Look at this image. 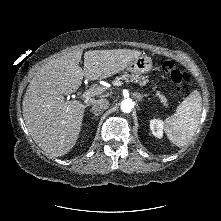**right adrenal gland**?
Returning a JSON list of instances; mask_svg holds the SVG:
<instances>
[{"instance_id": "1", "label": "right adrenal gland", "mask_w": 221, "mask_h": 221, "mask_svg": "<svg viewBox=\"0 0 221 221\" xmlns=\"http://www.w3.org/2000/svg\"><path fill=\"white\" fill-rule=\"evenodd\" d=\"M90 112L94 114V117H97L101 114L100 112H95L92 109L90 110Z\"/></svg>"}]
</instances>
